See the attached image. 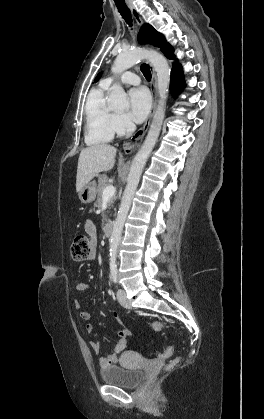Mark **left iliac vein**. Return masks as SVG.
I'll list each match as a JSON object with an SVG mask.
<instances>
[{
  "instance_id": "obj_1",
  "label": "left iliac vein",
  "mask_w": 264,
  "mask_h": 419,
  "mask_svg": "<svg viewBox=\"0 0 264 419\" xmlns=\"http://www.w3.org/2000/svg\"><path fill=\"white\" fill-rule=\"evenodd\" d=\"M117 298L119 303L125 308H131V305L127 299L126 292L124 289H119L117 292Z\"/></svg>"
}]
</instances>
